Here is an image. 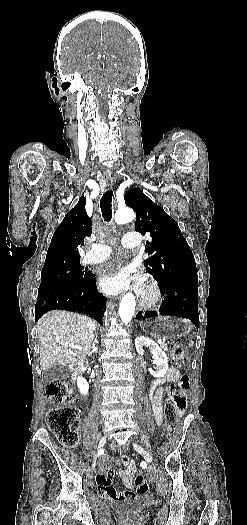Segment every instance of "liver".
Listing matches in <instances>:
<instances>
[{
	"instance_id": "1",
	"label": "liver",
	"mask_w": 247,
	"mask_h": 525,
	"mask_svg": "<svg viewBox=\"0 0 247 525\" xmlns=\"http://www.w3.org/2000/svg\"><path fill=\"white\" fill-rule=\"evenodd\" d=\"M97 329L96 321L69 311H49L37 323L40 367L49 371L56 365H77L91 351ZM72 347H82L72 349Z\"/></svg>"
}]
</instances>
